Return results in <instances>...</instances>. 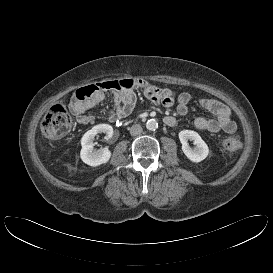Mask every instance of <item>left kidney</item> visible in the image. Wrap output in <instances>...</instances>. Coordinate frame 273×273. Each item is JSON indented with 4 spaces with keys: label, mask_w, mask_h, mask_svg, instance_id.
I'll list each match as a JSON object with an SVG mask.
<instances>
[{
    "label": "left kidney",
    "mask_w": 273,
    "mask_h": 273,
    "mask_svg": "<svg viewBox=\"0 0 273 273\" xmlns=\"http://www.w3.org/2000/svg\"><path fill=\"white\" fill-rule=\"evenodd\" d=\"M179 139L182 144V150L190 161L198 163L208 156V146L197 132L182 130L179 132ZM188 140L194 142L195 148L192 149L188 145Z\"/></svg>",
    "instance_id": "5707ae66"
}]
</instances>
